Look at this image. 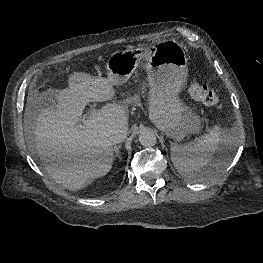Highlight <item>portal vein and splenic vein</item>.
Returning <instances> with one entry per match:
<instances>
[{
	"instance_id": "obj_1",
	"label": "portal vein and splenic vein",
	"mask_w": 263,
	"mask_h": 263,
	"mask_svg": "<svg viewBox=\"0 0 263 263\" xmlns=\"http://www.w3.org/2000/svg\"><path fill=\"white\" fill-rule=\"evenodd\" d=\"M96 110L94 109V107H91V111H90V115L89 117L93 116L95 114ZM85 118V117H84ZM79 129H82L83 128V125L82 124H79L77 126Z\"/></svg>"
}]
</instances>
